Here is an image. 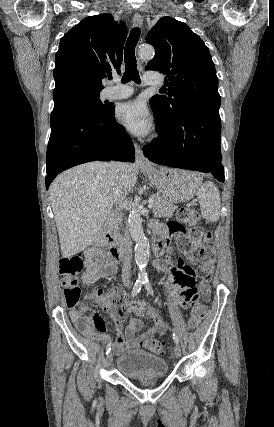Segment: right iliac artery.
Segmentation results:
<instances>
[{
  "label": "right iliac artery",
  "mask_w": 274,
  "mask_h": 427,
  "mask_svg": "<svg viewBox=\"0 0 274 427\" xmlns=\"http://www.w3.org/2000/svg\"><path fill=\"white\" fill-rule=\"evenodd\" d=\"M143 281L137 280L133 286V289L131 291V298L135 297L141 290ZM111 351V342L108 343L106 347V355H108Z\"/></svg>",
  "instance_id": "82829eb1"
}]
</instances>
